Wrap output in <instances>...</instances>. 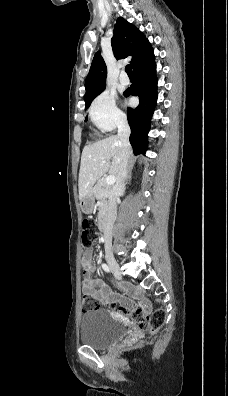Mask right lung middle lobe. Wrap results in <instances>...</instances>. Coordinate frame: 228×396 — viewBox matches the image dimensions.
<instances>
[{"label": "right lung middle lobe", "instance_id": "right-lung-middle-lobe-1", "mask_svg": "<svg viewBox=\"0 0 228 396\" xmlns=\"http://www.w3.org/2000/svg\"><path fill=\"white\" fill-rule=\"evenodd\" d=\"M103 91V90H102ZM102 91L98 92L97 94H95L87 103H85V108H88L90 106V103L92 102V100L98 96ZM87 120V119H86Z\"/></svg>", "mask_w": 228, "mask_h": 396}]
</instances>
